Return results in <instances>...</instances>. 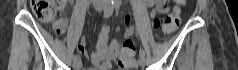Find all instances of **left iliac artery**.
Wrapping results in <instances>:
<instances>
[{"label":"left iliac artery","mask_w":238,"mask_h":70,"mask_svg":"<svg viewBox=\"0 0 238 70\" xmlns=\"http://www.w3.org/2000/svg\"><path fill=\"white\" fill-rule=\"evenodd\" d=\"M120 5H121V1L115 0V9L117 12L119 11ZM139 55H140V57H145V49L144 48L140 49Z\"/></svg>","instance_id":"left-iliac-artery-1"}]
</instances>
